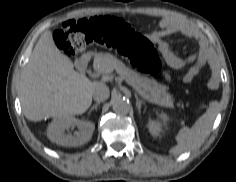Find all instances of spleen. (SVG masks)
I'll return each mask as SVG.
<instances>
[{
    "instance_id": "3e777b00",
    "label": "spleen",
    "mask_w": 236,
    "mask_h": 182,
    "mask_svg": "<svg viewBox=\"0 0 236 182\" xmlns=\"http://www.w3.org/2000/svg\"><path fill=\"white\" fill-rule=\"evenodd\" d=\"M217 111L218 103L211 102L206 112L198 118L191 128L183 127L179 130L176 136L177 144L169 152L179 155L200 147L210 133Z\"/></svg>"
}]
</instances>
